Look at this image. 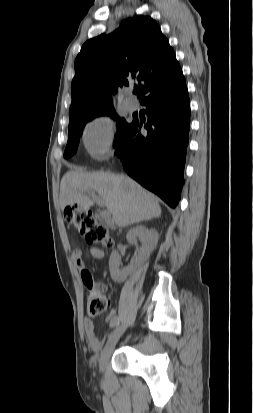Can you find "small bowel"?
Returning a JSON list of instances; mask_svg holds the SVG:
<instances>
[{
  "mask_svg": "<svg viewBox=\"0 0 253 413\" xmlns=\"http://www.w3.org/2000/svg\"><path fill=\"white\" fill-rule=\"evenodd\" d=\"M84 248H88L91 256L95 259H102L104 257V251L96 245L87 243V244H82L79 248H77L73 252V255H72L73 262L80 272L82 282L85 284V286L88 287L89 285L93 284L94 281H93L91 272L86 268V265L83 260V249ZM116 319H117V314L113 310L107 316L106 322L110 327H112ZM84 331H85V336L89 343L90 348L93 351H99L102 348L104 341L96 335L94 323L92 319L89 317H86L84 319Z\"/></svg>",
  "mask_w": 253,
  "mask_h": 413,
  "instance_id": "c3829d8e",
  "label": "small bowel"
}]
</instances>
